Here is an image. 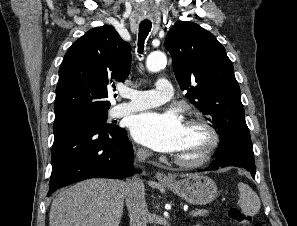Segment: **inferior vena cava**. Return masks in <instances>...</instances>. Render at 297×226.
Wrapping results in <instances>:
<instances>
[{"instance_id":"602c4592","label":"inferior vena cava","mask_w":297,"mask_h":226,"mask_svg":"<svg viewBox=\"0 0 297 226\" xmlns=\"http://www.w3.org/2000/svg\"><path fill=\"white\" fill-rule=\"evenodd\" d=\"M149 155L148 151L138 150V161L144 162ZM125 201L130 217V226H147L149 212L145 202L144 184L138 175L127 180Z\"/></svg>"}]
</instances>
